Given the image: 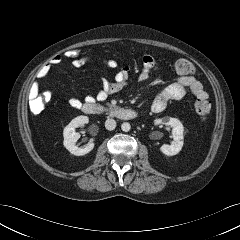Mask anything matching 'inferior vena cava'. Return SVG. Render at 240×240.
Wrapping results in <instances>:
<instances>
[{
  "label": "inferior vena cava",
  "mask_w": 240,
  "mask_h": 240,
  "mask_svg": "<svg viewBox=\"0 0 240 240\" xmlns=\"http://www.w3.org/2000/svg\"><path fill=\"white\" fill-rule=\"evenodd\" d=\"M116 127V121L112 118H108L106 121H105V128L107 130H114Z\"/></svg>",
  "instance_id": "inferior-vena-cava-1"
}]
</instances>
